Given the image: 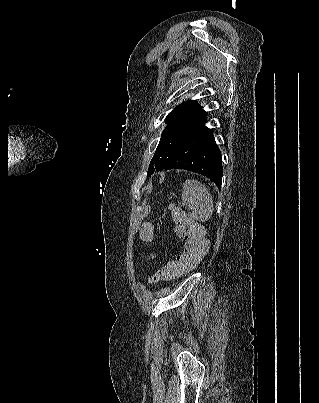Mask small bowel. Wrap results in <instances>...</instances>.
I'll return each instance as SVG.
<instances>
[{
  "instance_id": "1",
  "label": "small bowel",
  "mask_w": 319,
  "mask_h": 403,
  "mask_svg": "<svg viewBox=\"0 0 319 403\" xmlns=\"http://www.w3.org/2000/svg\"><path fill=\"white\" fill-rule=\"evenodd\" d=\"M148 255H151V252H148ZM181 276V275H180Z\"/></svg>"
}]
</instances>
